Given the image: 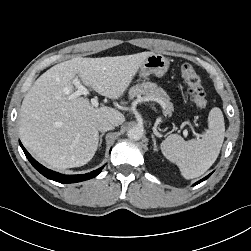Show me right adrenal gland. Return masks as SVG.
<instances>
[{
    "instance_id": "1",
    "label": "right adrenal gland",
    "mask_w": 251,
    "mask_h": 251,
    "mask_svg": "<svg viewBox=\"0 0 251 251\" xmlns=\"http://www.w3.org/2000/svg\"><path fill=\"white\" fill-rule=\"evenodd\" d=\"M103 136H104V132L100 135V137H99V147L101 146V144H102V138H103Z\"/></svg>"
}]
</instances>
